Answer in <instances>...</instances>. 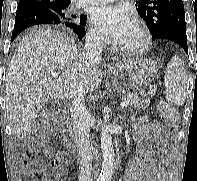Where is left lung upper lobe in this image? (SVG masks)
Here are the masks:
<instances>
[{
  "instance_id": "obj_1",
  "label": "left lung upper lobe",
  "mask_w": 197,
  "mask_h": 181,
  "mask_svg": "<svg viewBox=\"0 0 197 181\" xmlns=\"http://www.w3.org/2000/svg\"><path fill=\"white\" fill-rule=\"evenodd\" d=\"M136 10L147 23L152 40L162 39L172 27L186 26L182 0H140Z\"/></svg>"
}]
</instances>
